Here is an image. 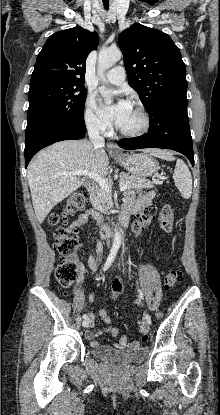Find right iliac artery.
<instances>
[{"instance_id": "right-iliac-artery-1", "label": "right iliac artery", "mask_w": 220, "mask_h": 415, "mask_svg": "<svg viewBox=\"0 0 220 415\" xmlns=\"http://www.w3.org/2000/svg\"><path fill=\"white\" fill-rule=\"evenodd\" d=\"M118 248H119V245H113L112 246L111 251H110V254H109V256L107 258V261H106V263H105V265L103 267V271H106L111 266V264L113 263V261H114V259L116 257V254L118 252ZM82 317H83V319H87L88 318V316L86 314H84Z\"/></svg>"}]
</instances>
